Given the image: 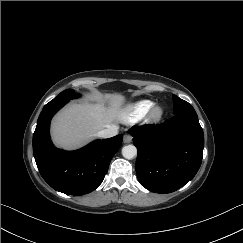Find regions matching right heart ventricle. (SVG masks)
<instances>
[{"mask_svg":"<svg viewBox=\"0 0 243 243\" xmlns=\"http://www.w3.org/2000/svg\"><path fill=\"white\" fill-rule=\"evenodd\" d=\"M154 104L152 100L148 99L132 103L128 107V121L133 122L143 118L153 108Z\"/></svg>","mask_w":243,"mask_h":243,"instance_id":"1","label":"right heart ventricle"}]
</instances>
